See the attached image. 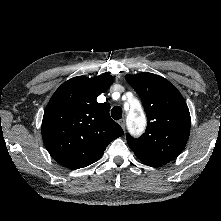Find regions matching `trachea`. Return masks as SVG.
Listing matches in <instances>:
<instances>
[{
	"label": "trachea",
	"instance_id": "obj_1",
	"mask_svg": "<svg viewBox=\"0 0 221 221\" xmlns=\"http://www.w3.org/2000/svg\"><path fill=\"white\" fill-rule=\"evenodd\" d=\"M111 116L114 120H119L122 118V109L119 106H115L111 110Z\"/></svg>",
	"mask_w": 221,
	"mask_h": 221
}]
</instances>
